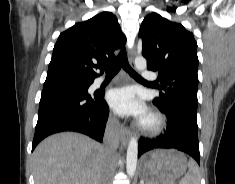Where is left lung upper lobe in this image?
<instances>
[{"label":"left lung upper lobe","mask_w":235,"mask_h":184,"mask_svg":"<svg viewBox=\"0 0 235 184\" xmlns=\"http://www.w3.org/2000/svg\"><path fill=\"white\" fill-rule=\"evenodd\" d=\"M139 37L148 70L158 72L161 92L154 104H179L197 112V43L181 24L151 13L143 20Z\"/></svg>","instance_id":"5c2ea615"}]
</instances>
